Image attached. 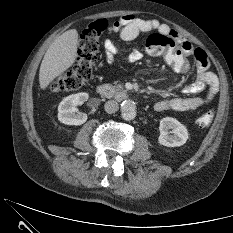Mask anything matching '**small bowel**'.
<instances>
[{
    "instance_id": "1",
    "label": "small bowel",
    "mask_w": 233,
    "mask_h": 233,
    "mask_svg": "<svg viewBox=\"0 0 233 233\" xmlns=\"http://www.w3.org/2000/svg\"><path fill=\"white\" fill-rule=\"evenodd\" d=\"M112 30L117 32L119 38L124 42L135 39L140 33L157 31L163 34H169L177 41L185 56L195 60L197 66L196 78L193 83L183 86L182 91L188 95H196L203 91H206V94L204 96H192L187 98H166L155 103V111L162 112L174 110L194 113L208 105L217 95L219 91V80L218 77L209 70L210 62L206 52L202 48L192 45L168 25L156 19H142L131 14H126L114 23ZM104 49L106 61L108 64H111L114 56L120 53V48L115 42L108 40L104 44ZM141 57V52L136 49L128 54L130 62H138Z\"/></svg>"
}]
</instances>
